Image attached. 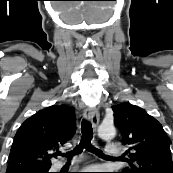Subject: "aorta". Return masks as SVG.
I'll return each instance as SVG.
<instances>
[{
  "instance_id": "1",
  "label": "aorta",
  "mask_w": 173,
  "mask_h": 173,
  "mask_svg": "<svg viewBox=\"0 0 173 173\" xmlns=\"http://www.w3.org/2000/svg\"><path fill=\"white\" fill-rule=\"evenodd\" d=\"M98 134L101 138L111 139L116 135L113 123H102L98 128Z\"/></svg>"
}]
</instances>
